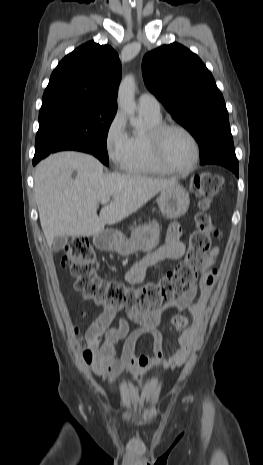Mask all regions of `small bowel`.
Returning a JSON list of instances; mask_svg holds the SVG:
<instances>
[{"mask_svg": "<svg viewBox=\"0 0 263 465\" xmlns=\"http://www.w3.org/2000/svg\"><path fill=\"white\" fill-rule=\"evenodd\" d=\"M184 233V228L178 223L170 224L165 243L133 265L125 274L126 281L131 284L141 283L149 267L164 260L181 258L186 249L182 240ZM217 255L218 248L214 247L209 253L200 281L185 293L147 312L125 310V316L113 328L109 327L118 309L103 306L101 314L91 329L96 334H105L103 344L95 351L94 373L105 378L109 383H114L124 374H130L133 381H140L145 375L159 367L168 369L181 366L192 350L196 331L205 316L216 281V270L213 264ZM198 291H200L199 298L194 302ZM185 309L192 316L194 325L182 331L178 339L179 348L174 350L170 358L166 360L164 339L158 327L167 312H173L170 318L173 324L174 317ZM131 324H135L136 328L131 330ZM144 335H149L153 339V357L136 354V344ZM122 339H124L122 353L120 357H117L114 346Z\"/></svg>", "mask_w": 263, "mask_h": 465, "instance_id": "1", "label": "small bowel"}]
</instances>
